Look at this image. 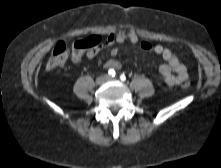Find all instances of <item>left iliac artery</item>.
Returning a JSON list of instances; mask_svg holds the SVG:
<instances>
[{
  "label": "left iliac artery",
  "mask_w": 221,
  "mask_h": 168,
  "mask_svg": "<svg viewBox=\"0 0 221 168\" xmlns=\"http://www.w3.org/2000/svg\"><path fill=\"white\" fill-rule=\"evenodd\" d=\"M120 79H121V81H126V76L124 74H121Z\"/></svg>",
  "instance_id": "1"
}]
</instances>
